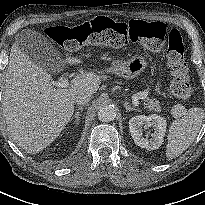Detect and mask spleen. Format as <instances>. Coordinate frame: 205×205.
Instances as JSON below:
<instances>
[{
	"instance_id": "obj_1",
	"label": "spleen",
	"mask_w": 205,
	"mask_h": 205,
	"mask_svg": "<svg viewBox=\"0 0 205 205\" xmlns=\"http://www.w3.org/2000/svg\"><path fill=\"white\" fill-rule=\"evenodd\" d=\"M203 117L204 110L194 107L185 112L181 119L171 124L166 147L167 159L178 157L194 142L200 131Z\"/></svg>"
}]
</instances>
